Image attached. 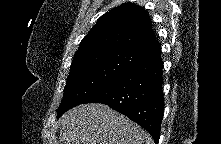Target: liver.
Masks as SVG:
<instances>
[{"label":"liver","instance_id":"liver-1","mask_svg":"<svg viewBox=\"0 0 221 144\" xmlns=\"http://www.w3.org/2000/svg\"><path fill=\"white\" fill-rule=\"evenodd\" d=\"M62 144H154L150 135L104 104H82L58 121Z\"/></svg>","mask_w":221,"mask_h":144}]
</instances>
